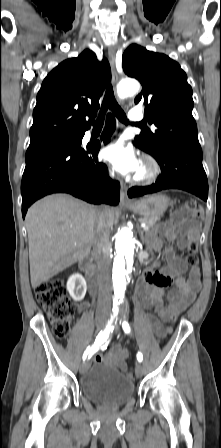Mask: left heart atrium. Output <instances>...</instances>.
Segmentation results:
<instances>
[{
  "mask_svg": "<svg viewBox=\"0 0 221 448\" xmlns=\"http://www.w3.org/2000/svg\"><path fill=\"white\" fill-rule=\"evenodd\" d=\"M103 156L123 175L137 174L141 168L140 161L133 149L121 141L106 146Z\"/></svg>",
  "mask_w": 221,
  "mask_h": 448,
  "instance_id": "obj_1",
  "label": "left heart atrium"
}]
</instances>
